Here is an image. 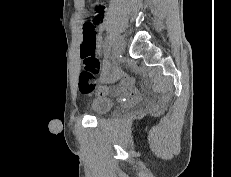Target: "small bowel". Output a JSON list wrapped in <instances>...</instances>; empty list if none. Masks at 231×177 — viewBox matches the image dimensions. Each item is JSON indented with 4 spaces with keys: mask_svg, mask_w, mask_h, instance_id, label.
I'll return each mask as SVG.
<instances>
[{
    "mask_svg": "<svg viewBox=\"0 0 231 177\" xmlns=\"http://www.w3.org/2000/svg\"><path fill=\"white\" fill-rule=\"evenodd\" d=\"M104 12H105V6L104 5H98L96 7V12L92 18L91 23L96 27L97 31L101 30L103 27ZM100 47H101V37L97 33L96 49H99ZM114 78H123L126 85H128L130 83V80L124 78L123 75L118 71H115L113 79ZM125 90H126V87H123V86L115 89V91H117V92H121V91H125Z\"/></svg>",
    "mask_w": 231,
    "mask_h": 177,
    "instance_id": "obj_1",
    "label": "small bowel"
}]
</instances>
